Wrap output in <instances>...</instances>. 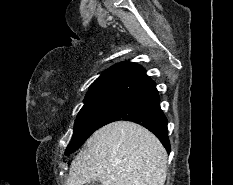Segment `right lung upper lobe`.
<instances>
[{
    "label": "right lung upper lobe",
    "instance_id": "cb5924a9",
    "mask_svg": "<svg viewBox=\"0 0 233 185\" xmlns=\"http://www.w3.org/2000/svg\"><path fill=\"white\" fill-rule=\"evenodd\" d=\"M150 80L145 69L131 62L118 63L104 71L90 86L89 92L124 89L133 90L139 85Z\"/></svg>",
    "mask_w": 233,
    "mask_h": 185
}]
</instances>
